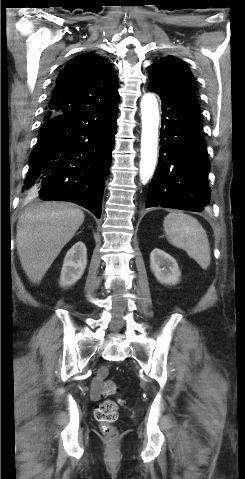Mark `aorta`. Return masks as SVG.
Returning <instances> with one entry per match:
<instances>
[{
    "label": "aorta",
    "instance_id": "obj_1",
    "mask_svg": "<svg viewBox=\"0 0 245 479\" xmlns=\"http://www.w3.org/2000/svg\"><path fill=\"white\" fill-rule=\"evenodd\" d=\"M141 115L140 178L142 183H146L154 173L157 160L159 110L158 102L153 94L148 93L142 97Z\"/></svg>",
    "mask_w": 245,
    "mask_h": 479
}]
</instances>
